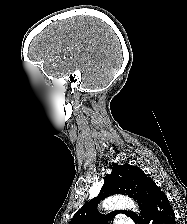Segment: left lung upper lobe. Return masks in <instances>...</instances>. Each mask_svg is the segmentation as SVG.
<instances>
[{"label":"left lung upper lobe","mask_w":187,"mask_h":224,"mask_svg":"<svg viewBox=\"0 0 187 224\" xmlns=\"http://www.w3.org/2000/svg\"><path fill=\"white\" fill-rule=\"evenodd\" d=\"M159 187L155 182L136 166L129 164L115 165L110 175L104 178V185L98 196L84 204L73 216L69 224H108L117 214L123 213L133 219L135 223L142 219ZM113 194H124L132 197L140 207L141 216L126 210H116L109 214L97 213L100 200Z\"/></svg>","instance_id":"5c2ea615"}]
</instances>
